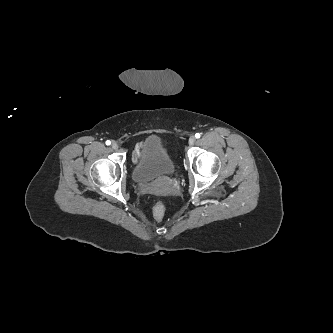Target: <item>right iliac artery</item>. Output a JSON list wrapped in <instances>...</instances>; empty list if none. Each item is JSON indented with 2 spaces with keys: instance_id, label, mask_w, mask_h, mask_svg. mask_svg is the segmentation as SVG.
Listing matches in <instances>:
<instances>
[{
  "instance_id": "82829eb1",
  "label": "right iliac artery",
  "mask_w": 333,
  "mask_h": 333,
  "mask_svg": "<svg viewBox=\"0 0 333 333\" xmlns=\"http://www.w3.org/2000/svg\"><path fill=\"white\" fill-rule=\"evenodd\" d=\"M111 142L109 140L106 141V145H110Z\"/></svg>"
}]
</instances>
